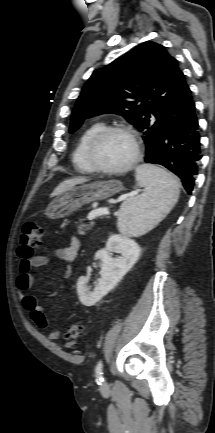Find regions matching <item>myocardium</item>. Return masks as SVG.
Returning a JSON list of instances; mask_svg holds the SVG:
<instances>
[{
    "label": "myocardium",
    "mask_w": 215,
    "mask_h": 433,
    "mask_svg": "<svg viewBox=\"0 0 215 433\" xmlns=\"http://www.w3.org/2000/svg\"><path fill=\"white\" fill-rule=\"evenodd\" d=\"M111 133H121L128 136L134 145V154L132 158L126 165L119 168L102 167L96 163L94 158V151L96 145L99 143L101 139H103L105 136ZM141 157H142V144L138 135L132 129L121 125L106 126L102 128L91 138L86 148V159L89 165L91 166V168L96 172L105 173V174L119 175V174L127 173L130 170H132L134 167H136Z\"/></svg>",
    "instance_id": "1"
}]
</instances>
